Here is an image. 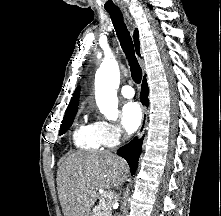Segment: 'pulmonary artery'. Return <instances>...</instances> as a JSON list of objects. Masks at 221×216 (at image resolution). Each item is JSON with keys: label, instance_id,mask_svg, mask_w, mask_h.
Returning a JSON list of instances; mask_svg holds the SVG:
<instances>
[{"label": "pulmonary artery", "instance_id": "e3ab8cb5", "mask_svg": "<svg viewBox=\"0 0 221 216\" xmlns=\"http://www.w3.org/2000/svg\"><path fill=\"white\" fill-rule=\"evenodd\" d=\"M121 94L125 98H132L135 95V91H134V89H133V87L131 85H124L121 88Z\"/></svg>", "mask_w": 221, "mask_h": 216}]
</instances>
